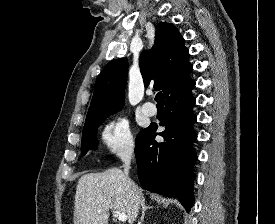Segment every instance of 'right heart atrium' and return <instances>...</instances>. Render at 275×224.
I'll return each instance as SVG.
<instances>
[{
    "mask_svg": "<svg viewBox=\"0 0 275 224\" xmlns=\"http://www.w3.org/2000/svg\"><path fill=\"white\" fill-rule=\"evenodd\" d=\"M101 141L115 155L128 156L134 150V141L128 121L117 118L107 123L101 132Z\"/></svg>",
    "mask_w": 275,
    "mask_h": 224,
    "instance_id": "right-heart-atrium-1",
    "label": "right heart atrium"
}]
</instances>
